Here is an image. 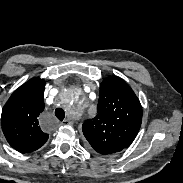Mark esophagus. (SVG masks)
I'll return each mask as SVG.
<instances>
[{"label":"esophagus","instance_id":"34e87169","mask_svg":"<svg viewBox=\"0 0 183 183\" xmlns=\"http://www.w3.org/2000/svg\"><path fill=\"white\" fill-rule=\"evenodd\" d=\"M71 124H72V122L68 119H66L62 122V125H71Z\"/></svg>","mask_w":183,"mask_h":183}]
</instances>
